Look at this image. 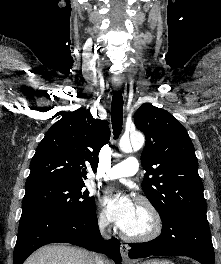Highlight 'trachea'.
I'll return each instance as SVG.
<instances>
[{
    "mask_svg": "<svg viewBox=\"0 0 221 264\" xmlns=\"http://www.w3.org/2000/svg\"><path fill=\"white\" fill-rule=\"evenodd\" d=\"M111 121L114 139H117L121 134L123 124V97L120 92H115L112 97Z\"/></svg>",
    "mask_w": 221,
    "mask_h": 264,
    "instance_id": "1",
    "label": "trachea"
}]
</instances>
